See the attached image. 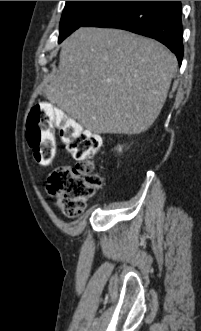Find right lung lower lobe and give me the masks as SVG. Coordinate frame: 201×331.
I'll use <instances>...</instances> for the list:
<instances>
[{
  "label": "right lung lower lobe",
  "instance_id": "obj_1",
  "mask_svg": "<svg viewBox=\"0 0 201 331\" xmlns=\"http://www.w3.org/2000/svg\"><path fill=\"white\" fill-rule=\"evenodd\" d=\"M83 26L118 28L156 39L183 58L180 1H111Z\"/></svg>",
  "mask_w": 201,
  "mask_h": 331
}]
</instances>
